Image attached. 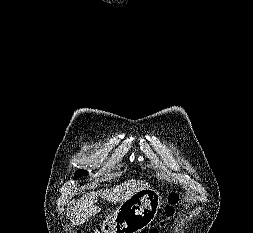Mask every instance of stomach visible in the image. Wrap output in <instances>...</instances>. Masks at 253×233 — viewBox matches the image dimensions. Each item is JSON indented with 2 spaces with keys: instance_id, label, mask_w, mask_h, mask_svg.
<instances>
[{
  "instance_id": "obj_1",
  "label": "stomach",
  "mask_w": 253,
  "mask_h": 233,
  "mask_svg": "<svg viewBox=\"0 0 253 233\" xmlns=\"http://www.w3.org/2000/svg\"><path fill=\"white\" fill-rule=\"evenodd\" d=\"M162 198L158 191L144 188L123 201L102 224L104 233H139L156 218Z\"/></svg>"
}]
</instances>
